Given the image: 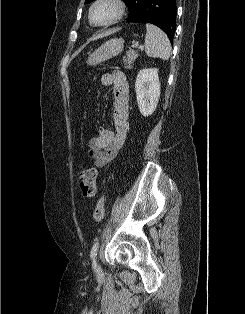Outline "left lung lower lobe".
I'll list each match as a JSON object with an SVG mask.
<instances>
[{"label": "left lung lower lobe", "instance_id": "1", "mask_svg": "<svg viewBox=\"0 0 245 314\" xmlns=\"http://www.w3.org/2000/svg\"><path fill=\"white\" fill-rule=\"evenodd\" d=\"M176 0H144L140 10L128 22L152 23L161 28L173 41L176 29Z\"/></svg>", "mask_w": 245, "mask_h": 314}]
</instances>
